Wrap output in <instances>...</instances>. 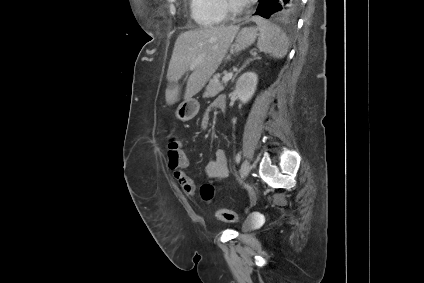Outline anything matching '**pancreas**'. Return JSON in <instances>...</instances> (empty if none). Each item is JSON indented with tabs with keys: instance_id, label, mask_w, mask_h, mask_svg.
I'll list each match as a JSON object with an SVG mask.
<instances>
[{
	"instance_id": "obj_1",
	"label": "pancreas",
	"mask_w": 424,
	"mask_h": 283,
	"mask_svg": "<svg viewBox=\"0 0 424 283\" xmlns=\"http://www.w3.org/2000/svg\"><path fill=\"white\" fill-rule=\"evenodd\" d=\"M218 78L219 77L216 75L213 77V79L210 80L209 84L206 87V91L204 93V96L206 98L215 97L218 93L224 90V87L222 86Z\"/></svg>"
}]
</instances>
